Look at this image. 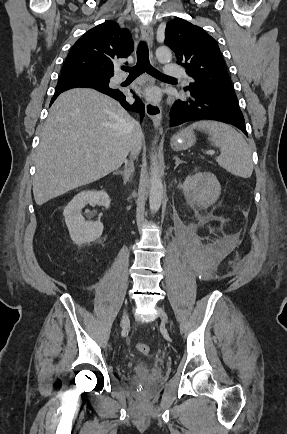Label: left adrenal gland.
<instances>
[{
    "label": "left adrenal gland",
    "instance_id": "obj_1",
    "mask_svg": "<svg viewBox=\"0 0 287 434\" xmlns=\"http://www.w3.org/2000/svg\"><path fill=\"white\" fill-rule=\"evenodd\" d=\"M175 160V168L178 167L180 163H184V161L180 160L177 156L173 158Z\"/></svg>",
    "mask_w": 287,
    "mask_h": 434
}]
</instances>
